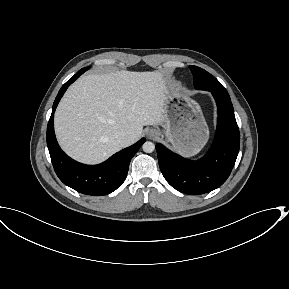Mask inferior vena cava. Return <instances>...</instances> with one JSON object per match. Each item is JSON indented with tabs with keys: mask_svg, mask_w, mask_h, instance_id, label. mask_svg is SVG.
Instances as JSON below:
<instances>
[{
	"mask_svg": "<svg viewBox=\"0 0 289 289\" xmlns=\"http://www.w3.org/2000/svg\"><path fill=\"white\" fill-rule=\"evenodd\" d=\"M115 138L117 139V142L123 145L126 141V134L124 132H118L115 134Z\"/></svg>",
	"mask_w": 289,
	"mask_h": 289,
	"instance_id": "1",
	"label": "inferior vena cava"
}]
</instances>
